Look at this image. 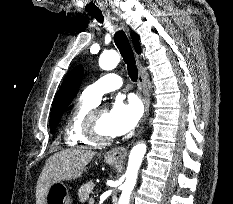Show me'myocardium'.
I'll return each mask as SVG.
<instances>
[{"mask_svg":"<svg viewBox=\"0 0 233 204\" xmlns=\"http://www.w3.org/2000/svg\"><path fill=\"white\" fill-rule=\"evenodd\" d=\"M102 110L104 109L100 107H94L87 114L85 119V134L96 144H109L114 140V137L106 136L100 133L97 125V116Z\"/></svg>","mask_w":233,"mask_h":204,"instance_id":"obj_1","label":"myocardium"}]
</instances>
